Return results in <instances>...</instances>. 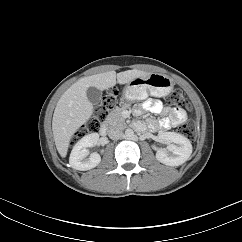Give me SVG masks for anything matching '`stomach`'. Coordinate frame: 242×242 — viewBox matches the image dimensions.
<instances>
[{"label":"stomach","mask_w":242,"mask_h":242,"mask_svg":"<svg viewBox=\"0 0 242 242\" xmlns=\"http://www.w3.org/2000/svg\"><path fill=\"white\" fill-rule=\"evenodd\" d=\"M174 81L169 76L159 73H151L147 77H137L131 80L124 92L127 101L143 100L148 93L152 96H167L174 88Z\"/></svg>","instance_id":"obj_1"}]
</instances>
